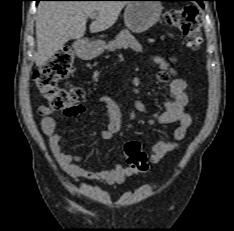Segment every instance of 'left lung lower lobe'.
<instances>
[{"label":"left lung lower lobe","instance_id":"left-lung-lower-lobe-1","mask_svg":"<svg viewBox=\"0 0 234 231\" xmlns=\"http://www.w3.org/2000/svg\"><path fill=\"white\" fill-rule=\"evenodd\" d=\"M187 1H196V2H198V3L200 4V6H201L202 8H204V6H203V1H207V0H187Z\"/></svg>","mask_w":234,"mask_h":231}]
</instances>
